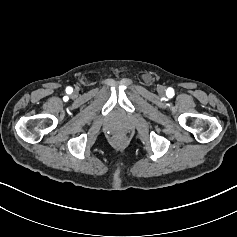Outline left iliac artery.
Listing matches in <instances>:
<instances>
[{"mask_svg":"<svg viewBox=\"0 0 237 237\" xmlns=\"http://www.w3.org/2000/svg\"><path fill=\"white\" fill-rule=\"evenodd\" d=\"M166 95L168 97H173L174 96V90L173 88H168L167 91H166Z\"/></svg>","mask_w":237,"mask_h":237,"instance_id":"1","label":"left iliac artery"}]
</instances>
